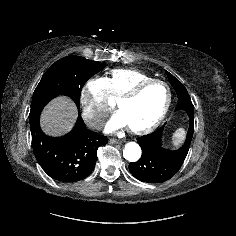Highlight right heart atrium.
<instances>
[{"label": "right heart atrium", "mask_w": 236, "mask_h": 236, "mask_svg": "<svg viewBox=\"0 0 236 236\" xmlns=\"http://www.w3.org/2000/svg\"><path fill=\"white\" fill-rule=\"evenodd\" d=\"M80 103L87 124L98 127L111 110L102 78L90 79L85 83L80 93Z\"/></svg>", "instance_id": "right-heart-atrium-1"}]
</instances>
